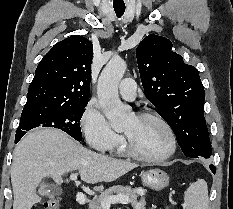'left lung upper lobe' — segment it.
Masks as SVG:
<instances>
[{
    "instance_id": "left-lung-upper-lobe-1",
    "label": "left lung upper lobe",
    "mask_w": 233,
    "mask_h": 209,
    "mask_svg": "<svg viewBox=\"0 0 233 209\" xmlns=\"http://www.w3.org/2000/svg\"><path fill=\"white\" fill-rule=\"evenodd\" d=\"M171 47L169 39L154 34L138 45L136 56L146 97L174 131L187 157L209 158L211 143L199 72Z\"/></svg>"
}]
</instances>
